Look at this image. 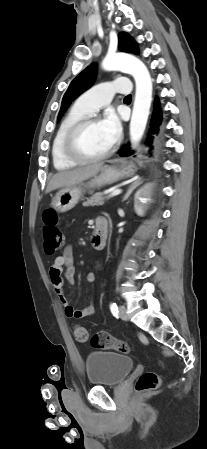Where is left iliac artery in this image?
<instances>
[{"instance_id": "1", "label": "left iliac artery", "mask_w": 207, "mask_h": 449, "mask_svg": "<svg viewBox=\"0 0 207 449\" xmlns=\"http://www.w3.org/2000/svg\"><path fill=\"white\" fill-rule=\"evenodd\" d=\"M110 310H111V313H112L115 317H118L119 309H118V306H117L116 303H111V304H110Z\"/></svg>"}]
</instances>
